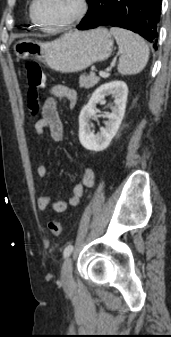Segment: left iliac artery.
<instances>
[{
  "label": "left iliac artery",
  "mask_w": 171,
  "mask_h": 337,
  "mask_svg": "<svg viewBox=\"0 0 171 337\" xmlns=\"http://www.w3.org/2000/svg\"><path fill=\"white\" fill-rule=\"evenodd\" d=\"M72 251H73V246L72 245L66 246V248L64 249V252H63L64 258L69 257L70 254L72 253Z\"/></svg>",
  "instance_id": "left-iliac-artery-1"
}]
</instances>
